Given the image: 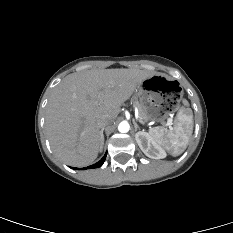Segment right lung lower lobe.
Here are the masks:
<instances>
[{"mask_svg": "<svg viewBox=\"0 0 233 233\" xmlns=\"http://www.w3.org/2000/svg\"><path fill=\"white\" fill-rule=\"evenodd\" d=\"M106 155H107V153L104 155V157L99 162H97V163H95V164H93L91 166H88V168H98V167H100L104 163ZM71 168L77 170V168H74V167H71Z\"/></svg>", "mask_w": 233, "mask_h": 233, "instance_id": "1", "label": "right lung lower lobe"}]
</instances>
